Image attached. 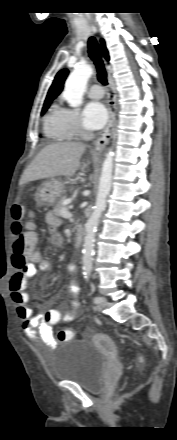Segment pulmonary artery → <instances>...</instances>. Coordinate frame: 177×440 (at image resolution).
<instances>
[{"label": "pulmonary artery", "instance_id": "e3ab8cb5", "mask_svg": "<svg viewBox=\"0 0 177 440\" xmlns=\"http://www.w3.org/2000/svg\"><path fill=\"white\" fill-rule=\"evenodd\" d=\"M88 95L92 99H100L104 96V89L99 84H93L88 91Z\"/></svg>", "mask_w": 177, "mask_h": 440}]
</instances>
